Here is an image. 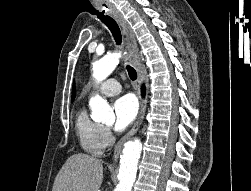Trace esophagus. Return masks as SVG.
<instances>
[{
    "label": "esophagus",
    "instance_id": "esophagus-1",
    "mask_svg": "<svg viewBox=\"0 0 251 191\" xmlns=\"http://www.w3.org/2000/svg\"><path fill=\"white\" fill-rule=\"evenodd\" d=\"M110 15L116 18L117 22L120 24L122 28V33L125 39L126 48L130 52V55H131V63L133 64L135 68H138V65L140 64V59H139V53H138V46H137V42H136L133 30H131V27L129 26L125 18L118 11L110 12ZM145 112H146V99L143 100L137 121L134 123L130 131H128L126 135L122 136V138L116 144L115 149H114V155H113L114 161L118 160L123 145L140 128V125L142 124L144 116H145Z\"/></svg>",
    "mask_w": 251,
    "mask_h": 191
}]
</instances>
